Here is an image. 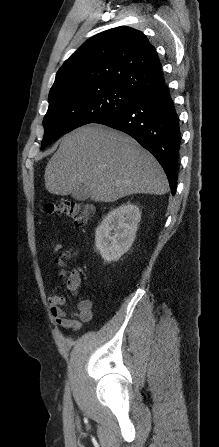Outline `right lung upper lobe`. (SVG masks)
<instances>
[{
    "instance_id": "right-lung-upper-lobe-1",
    "label": "right lung upper lobe",
    "mask_w": 219,
    "mask_h": 447,
    "mask_svg": "<svg viewBox=\"0 0 219 447\" xmlns=\"http://www.w3.org/2000/svg\"><path fill=\"white\" fill-rule=\"evenodd\" d=\"M163 84L157 52L146 36L130 27H117L88 39L73 53L57 72L50 93L112 85L138 98Z\"/></svg>"
}]
</instances>
